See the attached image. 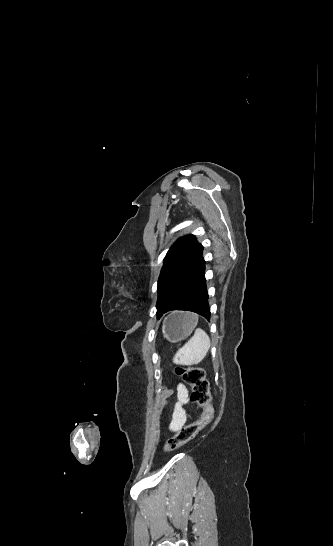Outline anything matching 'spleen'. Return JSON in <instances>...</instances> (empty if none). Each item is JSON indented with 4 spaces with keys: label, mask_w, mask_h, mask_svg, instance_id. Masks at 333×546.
Instances as JSON below:
<instances>
[{
    "label": "spleen",
    "mask_w": 333,
    "mask_h": 546,
    "mask_svg": "<svg viewBox=\"0 0 333 546\" xmlns=\"http://www.w3.org/2000/svg\"><path fill=\"white\" fill-rule=\"evenodd\" d=\"M198 319V316L195 315ZM210 338L202 329H197L194 335L174 355L172 361L176 365H197L206 357L210 349Z\"/></svg>",
    "instance_id": "1"
}]
</instances>
